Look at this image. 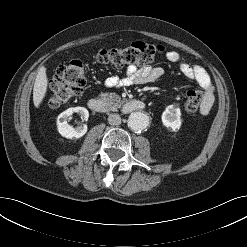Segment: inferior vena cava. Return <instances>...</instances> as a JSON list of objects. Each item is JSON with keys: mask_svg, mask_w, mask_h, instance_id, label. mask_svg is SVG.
<instances>
[{"mask_svg": "<svg viewBox=\"0 0 247 247\" xmlns=\"http://www.w3.org/2000/svg\"><path fill=\"white\" fill-rule=\"evenodd\" d=\"M108 123L110 125H119L121 124V117L118 114L112 113L108 116Z\"/></svg>", "mask_w": 247, "mask_h": 247, "instance_id": "obj_1", "label": "inferior vena cava"}]
</instances>
